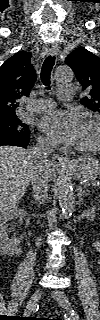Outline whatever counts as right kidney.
<instances>
[{
    "label": "right kidney",
    "mask_w": 100,
    "mask_h": 320,
    "mask_svg": "<svg viewBox=\"0 0 100 320\" xmlns=\"http://www.w3.org/2000/svg\"><path fill=\"white\" fill-rule=\"evenodd\" d=\"M23 212V209L11 207L0 213V248L5 254L14 255L20 251L18 247L21 242V238L8 236V222L16 220Z\"/></svg>",
    "instance_id": "ca27d5eb"
}]
</instances>
